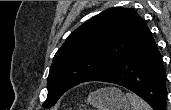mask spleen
Instances as JSON below:
<instances>
[{"mask_svg": "<svg viewBox=\"0 0 171 110\" xmlns=\"http://www.w3.org/2000/svg\"><path fill=\"white\" fill-rule=\"evenodd\" d=\"M126 97L131 104V110H152L151 107L136 94L126 93Z\"/></svg>", "mask_w": 171, "mask_h": 110, "instance_id": "obj_1", "label": "spleen"}]
</instances>
